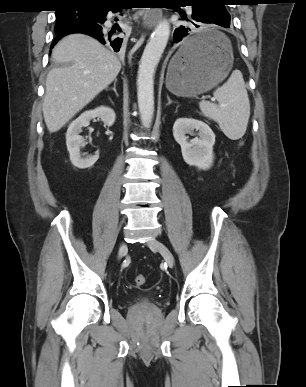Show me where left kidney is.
<instances>
[{
    "label": "left kidney",
    "instance_id": "5707ae66",
    "mask_svg": "<svg viewBox=\"0 0 306 387\" xmlns=\"http://www.w3.org/2000/svg\"><path fill=\"white\" fill-rule=\"evenodd\" d=\"M195 129L199 131V138L189 140L187 134L194 135ZM173 136L181 146L183 159L188 165L203 170L211 167L215 134L206 123L193 118H179L174 123Z\"/></svg>",
    "mask_w": 306,
    "mask_h": 387
}]
</instances>
